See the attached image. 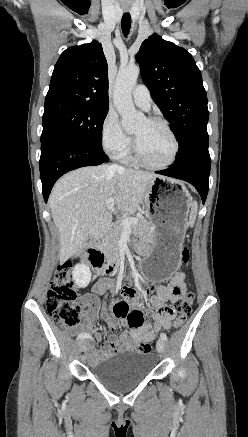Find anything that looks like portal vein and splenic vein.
<instances>
[{
  "label": "portal vein and splenic vein",
  "instance_id": "obj_1",
  "mask_svg": "<svg viewBox=\"0 0 248 437\" xmlns=\"http://www.w3.org/2000/svg\"><path fill=\"white\" fill-rule=\"evenodd\" d=\"M106 208L110 211V212H115V208H114V200L112 198L108 199L106 201ZM138 223V219L137 218H124L121 220V224L123 226V228L125 230L130 229L133 225Z\"/></svg>",
  "mask_w": 248,
  "mask_h": 437
}]
</instances>
